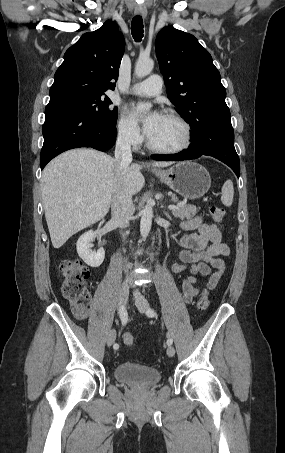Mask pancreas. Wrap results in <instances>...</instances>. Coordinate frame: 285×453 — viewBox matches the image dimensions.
<instances>
[{"instance_id": "cf45deb5", "label": "pancreas", "mask_w": 285, "mask_h": 453, "mask_svg": "<svg viewBox=\"0 0 285 453\" xmlns=\"http://www.w3.org/2000/svg\"><path fill=\"white\" fill-rule=\"evenodd\" d=\"M172 200L177 202V197L172 196ZM177 207V209L172 210V214L175 218H180L181 220H190L198 212V208L193 205L178 203Z\"/></svg>"}]
</instances>
